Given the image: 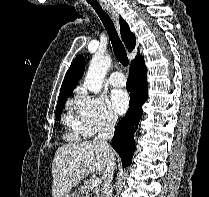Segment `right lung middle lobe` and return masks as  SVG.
<instances>
[{"mask_svg": "<svg viewBox=\"0 0 209 197\" xmlns=\"http://www.w3.org/2000/svg\"><path fill=\"white\" fill-rule=\"evenodd\" d=\"M67 97L58 100L57 106H56V118L59 119L62 113L63 105L66 101Z\"/></svg>", "mask_w": 209, "mask_h": 197, "instance_id": "1", "label": "right lung middle lobe"}]
</instances>
